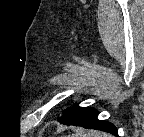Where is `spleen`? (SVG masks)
<instances>
[{
    "instance_id": "1",
    "label": "spleen",
    "mask_w": 144,
    "mask_h": 137,
    "mask_svg": "<svg viewBox=\"0 0 144 137\" xmlns=\"http://www.w3.org/2000/svg\"><path fill=\"white\" fill-rule=\"evenodd\" d=\"M72 137H108V135L98 131L80 130L73 134Z\"/></svg>"
}]
</instances>
